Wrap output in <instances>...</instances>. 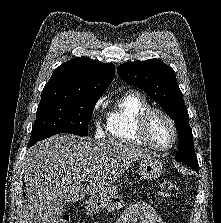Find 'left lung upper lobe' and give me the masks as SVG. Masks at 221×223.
<instances>
[{
    "instance_id": "5c2ea615",
    "label": "left lung upper lobe",
    "mask_w": 221,
    "mask_h": 223,
    "mask_svg": "<svg viewBox=\"0 0 221 223\" xmlns=\"http://www.w3.org/2000/svg\"><path fill=\"white\" fill-rule=\"evenodd\" d=\"M117 72L125 82L147 93L175 121L180 142L175 159L198 172L189 115L174 70L158 59H150L126 62Z\"/></svg>"
}]
</instances>
